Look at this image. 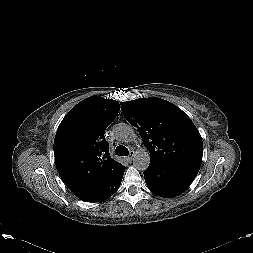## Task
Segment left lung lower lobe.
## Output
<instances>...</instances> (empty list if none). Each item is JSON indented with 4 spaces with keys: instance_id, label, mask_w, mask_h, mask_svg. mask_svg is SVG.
I'll use <instances>...</instances> for the list:
<instances>
[{
    "instance_id": "1",
    "label": "left lung lower lobe",
    "mask_w": 253,
    "mask_h": 253,
    "mask_svg": "<svg viewBox=\"0 0 253 253\" xmlns=\"http://www.w3.org/2000/svg\"><path fill=\"white\" fill-rule=\"evenodd\" d=\"M199 165L184 161L151 160L144 172L147 187L156 195L172 198L182 194L193 182Z\"/></svg>"
}]
</instances>
